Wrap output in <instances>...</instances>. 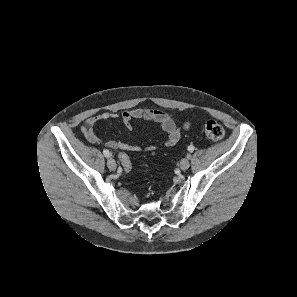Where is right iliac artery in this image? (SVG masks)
Masks as SVG:
<instances>
[{"mask_svg":"<svg viewBox=\"0 0 297 297\" xmlns=\"http://www.w3.org/2000/svg\"><path fill=\"white\" fill-rule=\"evenodd\" d=\"M103 154L105 155V157H110V152L107 149L103 150Z\"/></svg>","mask_w":297,"mask_h":297,"instance_id":"1","label":"right iliac artery"}]
</instances>
